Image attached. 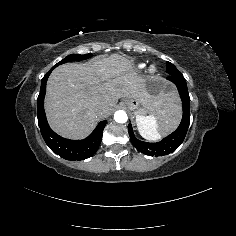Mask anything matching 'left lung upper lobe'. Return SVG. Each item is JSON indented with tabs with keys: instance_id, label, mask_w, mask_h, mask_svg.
<instances>
[{
	"instance_id": "left-lung-upper-lobe-1",
	"label": "left lung upper lobe",
	"mask_w": 236,
	"mask_h": 236,
	"mask_svg": "<svg viewBox=\"0 0 236 236\" xmlns=\"http://www.w3.org/2000/svg\"><path fill=\"white\" fill-rule=\"evenodd\" d=\"M172 64V63H171ZM173 65V64H172ZM167 66V65H166ZM167 73L169 75H173V74H176V73H180L178 71V69L173 65L171 68H167Z\"/></svg>"
}]
</instances>
